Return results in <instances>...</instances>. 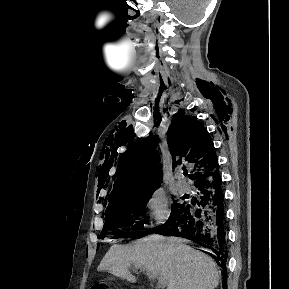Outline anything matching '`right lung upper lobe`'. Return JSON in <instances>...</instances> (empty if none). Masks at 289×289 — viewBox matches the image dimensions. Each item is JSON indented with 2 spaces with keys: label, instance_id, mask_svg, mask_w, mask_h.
<instances>
[{
  "label": "right lung upper lobe",
  "instance_id": "right-lung-upper-lobe-1",
  "mask_svg": "<svg viewBox=\"0 0 289 289\" xmlns=\"http://www.w3.org/2000/svg\"><path fill=\"white\" fill-rule=\"evenodd\" d=\"M167 143L173 166L177 164L178 157H185L187 162L193 164L194 169L189 177L194 181L218 168L209 133L201 122L194 116L186 115L184 111H179L172 120ZM178 164H181V161H178ZM116 177L108 197L109 205L158 188L162 182V170L156 144L148 138L136 143L124 155L122 168L116 173Z\"/></svg>",
  "mask_w": 289,
  "mask_h": 289
}]
</instances>
